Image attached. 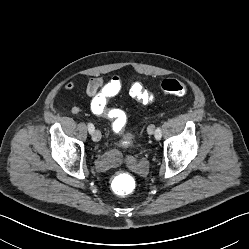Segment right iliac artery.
Segmentation results:
<instances>
[{
	"label": "right iliac artery",
	"instance_id": "82829eb1",
	"mask_svg": "<svg viewBox=\"0 0 249 249\" xmlns=\"http://www.w3.org/2000/svg\"><path fill=\"white\" fill-rule=\"evenodd\" d=\"M94 129H95V127H94V125L92 124V123H88V130H89V133H93L94 132Z\"/></svg>",
	"mask_w": 249,
	"mask_h": 249
}]
</instances>
